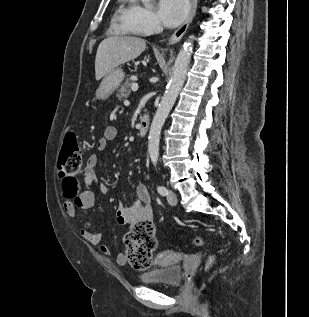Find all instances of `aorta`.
Returning <instances> with one entry per match:
<instances>
[{"label":"aorta","instance_id":"762f6f07","mask_svg":"<svg viewBox=\"0 0 309 317\" xmlns=\"http://www.w3.org/2000/svg\"><path fill=\"white\" fill-rule=\"evenodd\" d=\"M141 1L146 7H148L151 2V0ZM192 50L193 42L192 40H188L184 43L183 47L179 51L165 94L151 123L148 137V151L151 162L154 165L157 164L159 157L161 129L185 82Z\"/></svg>","mask_w":309,"mask_h":317}]
</instances>
